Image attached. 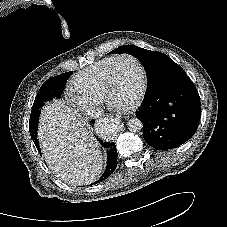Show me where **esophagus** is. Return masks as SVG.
<instances>
[{
	"label": "esophagus",
	"mask_w": 227,
	"mask_h": 227,
	"mask_svg": "<svg viewBox=\"0 0 227 227\" xmlns=\"http://www.w3.org/2000/svg\"><path fill=\"white\" fill-rule=\"evenodd\" d=\"M113 116H107V118H112ZM115 119V122H119L120 121V118L119 117H116V118H114Z\"/></svg>",
	"instance_id": "1"
}]
</instances>
